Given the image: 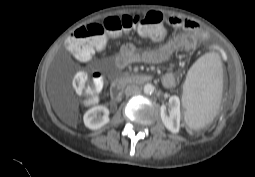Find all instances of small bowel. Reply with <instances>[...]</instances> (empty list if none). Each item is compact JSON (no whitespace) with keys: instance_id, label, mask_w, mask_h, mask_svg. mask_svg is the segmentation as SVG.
Segmentation results:
<instances>
[{"instance_id":"obj_1","label":"small bowel","mask_w":255,"mask_h":177,"mask_svg":"<svg viewBox=\"0 0 255 177\" xmlns=\"http://www.w3.org/2000/svg\"><path fill=\"white\" fill-rule=\"evenodd\" d=\"M168 21L172 26L183 29L185 32L168 39L159 48L145 52H138L133 44H124L115 58V66L118 69H123L133 63H159L178 50L194 48L200 41L207 38L198 24L192 20L182 17H170ZM163 33L164 31L159 38L155 39H161ZM162 83L166 88H172L176 84V75L173 72H167L162 78Z\"/></svg>"}]
</instances>
